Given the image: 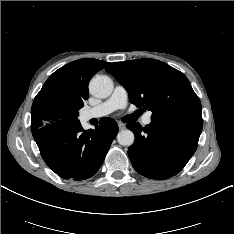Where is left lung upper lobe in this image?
<instances>
[{"label":"left lung upper lobe","instance_id":"obj_1","mask_svg":"<svg viewBox=\"0 0 234 234\" xmlns=\"http://www.w3.org/2000/svg\"><path fill=\"white\" fill-rule=\"evenodd\" d=\"M127 90L131 103L152 111L151 120L202 116L201 103L186 76L155 59L109 64L105 69Z\"/></svg>","mask_w":234,"mask_h":234}]
</instances>
